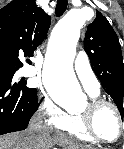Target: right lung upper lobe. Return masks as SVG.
Wrapping results in <instances>:
<instances>
[{
    "label": "right lung upper lobe",
    "mask_w": 124,
    "mask_h": 149,
    "mask_svg": "<svg viewBox=\"0 0 124 149\" xmlns=\"http://www.w3.org/2000/svg\"><path fill=\"white\" fill-rule=\"evenodd\" d=\"M51 17L35 0H13L0 10V67H22L19 55L32 56L43 42Z\"/></svg>",
    "instance_id": "cb5924a9"
}]
</instances>
